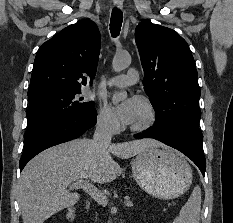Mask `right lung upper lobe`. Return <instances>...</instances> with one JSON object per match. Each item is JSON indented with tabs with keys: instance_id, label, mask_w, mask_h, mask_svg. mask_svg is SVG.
I'll return each mask as SVG.
<instances>
[{
	"instance_id": "cb5924a9",
	"label": "right lung upper lobe",
	"mask_w": 233,
	"mask_h": 223,
	"mask_svg": "<svg viewBox=\"0 0 233 223\" xmlns=\"http://www.w3.org/2000/svg\"><path fill=\"white\" fill-rule=\"evenodd\" d=\"M101 46L96 24L83 20L72 24L37 51L28 94L56 87H81L96 74Z\"/></svg>"
}]
</instances>
